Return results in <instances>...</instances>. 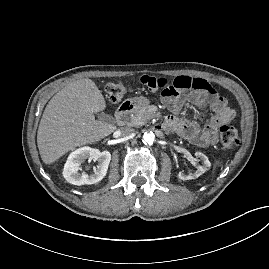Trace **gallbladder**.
I'll return each instance as SVG.
<instances>
[{"label": "gallbladder", "instance_id": "obj_1", "mask_svg": "<svg viewBox=\"0 0 269 269\" xmlns=\"http://www.w3.org/2000/svg\"><path fill=\"white\" fill-rule=\"evenodd\" d=\"M98 117L103 122H108V123H111L112 122L111 117L109 115L104 114V113H99L98 114Z\"/></svg>", "mask_w": 269, "mask_h": 269}]
</instances>
